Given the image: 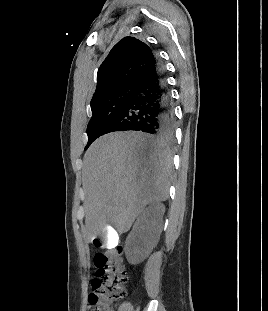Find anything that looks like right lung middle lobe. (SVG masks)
Wrapping results in <instances>:
<instances>
[{
    "label": "right lung middle lobe",
    "mask_w": 268,
    "mask_h": 311,
    "mask_svg": "<svg viewBox=\"0 0 268 311\" xmlns=\"http://www.w3.org/2000/svg\"><path fill=\"white\" fill-rule=\"evenodd\" d=\"M134 91L135 85L124 86L91 102L92 117L87 126L88 143L85 150L106 133L108 126L127 105Z\"/></svg>",
    "instance_id": "dd1d6c3e"
}]
</instances>
